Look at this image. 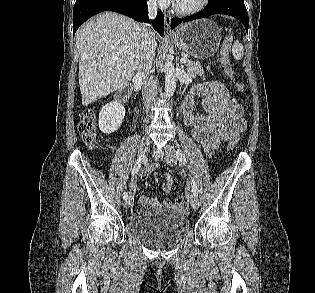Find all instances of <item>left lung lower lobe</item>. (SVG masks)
<instances>
[{
  "mask_svg": "<svg viewBox=\"0 0 315 293\" xmlns=\"http://www.w3.org/2000/svg\"><path fill=\"white\" fill-rule=\"evenodd\" d=\"M214 14H226L237 18L243 23L248 32V13L243 0H214L209 2L205 9L194 15L182 19L173 18L171 21V28L176 27L182 22L204 18Z\"/></svg>",
  "mask_w": 315,
  "mask_h": 293,
  "instance_id": "obj_1",
  "label": "left lung lower lobe"
}]
</instances>
